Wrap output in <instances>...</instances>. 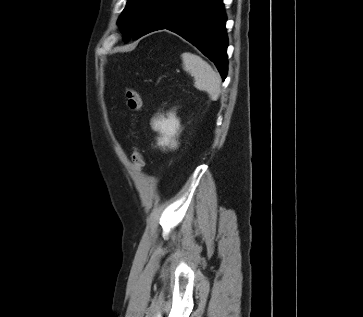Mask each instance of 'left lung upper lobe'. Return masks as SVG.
Masks as SVG:
<instances>
[{
  "mask_svg": "<svg viewBox=\"0 0 363 317\" xmlns=\"http://www.w3.org/2000/svg\"><path fill=\"white\" fill-rule=\"evenodd\" d=\"M159 0H128L118 19L123 38L140 37L149 24Z\"/></svg>",
  "mask_w": 363,
  "mask_h": 317,
  "instance_id": "1",
  "label": "left lung upper lobe"
}]
</instances>
